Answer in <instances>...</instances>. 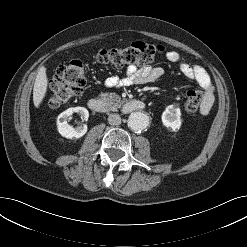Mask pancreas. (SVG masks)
Returning a JSON list of instances; mask_svg holds the SVG:
<instances>
[{
  "instance_id": "obj_1",
  "label": "pancreas",
  "mask_w": 247,
  "mask_h": 247,
  "mask_svg": "<svg viewBox=\"0 0 247 247\" xmlns=\"http://www.w3.org/2000/svg\"><path fill=\"white\" fill-rule=\"evenodd\" d=\"M100 96L108 103L112 110L120 108L126 99L121 100V97L116 93H101Z\"/></svg>"
}]
</instances>
